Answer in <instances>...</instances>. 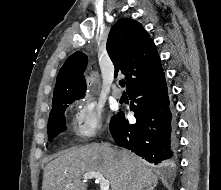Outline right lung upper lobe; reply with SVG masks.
<instances>
[{
    "instance_id": "obj_1",
    "label": "right lung upper lobe",
    "mask_w": 221,
    "mask_h": 190,
    "mask_svg": "<svg viewBox=\"0 0 221 190\" xmlns=\"http://www.w3.org/2000/svg\"><path fill=\"white\" fill-rule=\"evenodd\" d=\"M107 51L115 66V77L125 75L127 92L163 72L154 42L141 24L130 18H122L113 25ZM86 65L87 56L80 51L65 61L57 75L52 104L84 97L86 84L82 74Z\"/></svg>"
}]
</instances>
